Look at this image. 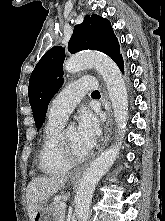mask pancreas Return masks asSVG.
<instances>
[{
	"mask_svg": "<svg viewBox=\"0 0 165 221\" xmlns=\"http://www.w3.org/2000/svg\"><path fill=\"white\" fill-rule=\"evenodd\" d=\"M52 208L54 214L57 216V221H64L65 209L61 206V202H54Z\"/></svg>",
	"mask_w": 165,
	"mask_h": 221,
	"instance_id": "obj_1",
	"label": "pancreas"
}]
</instances>
